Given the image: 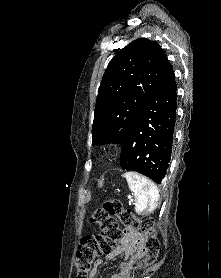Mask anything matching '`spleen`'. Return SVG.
Wrapping results in <instances>:
<instances>
[{"label":"spleen","instance_id":"obj_1","mask_svg":"<svg viewBox=\"0 0 221 278\" xmlns=\"http://www.w3.org/2000/svg\"><path fill=\"white\" fill-rule=\"evenodd\" d=\"M129 189L133 192L136 203L135 211L139 215H147L158 207L160 195L156 185L146 177L135 172L123 174Z\"/></svg>","mask_w":221,"mask_h":278}]
</instances>
